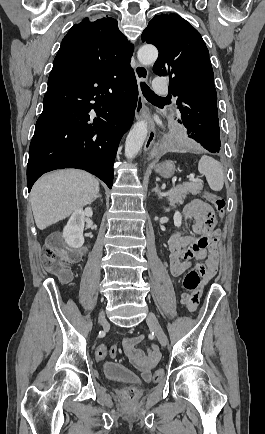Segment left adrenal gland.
Instances as JSON below:
<instances>
[{"label":"left adrenal gland","instance_id":"a2214340","mask_svg":"<svg viewBox=\"0 0 265 434\" xmlns=\"http://www.w3.org/2000/svg\"><path fill=\"white\" fill-rule=\"evenodd\" d=\"M152 192H155V194H157V196H158V198H160V200H161V198H163V196H161V190H159L157 182H156L155 188H154V190H152Z\"/></svg>","mask_w":265,"mask_h":434}]
</instances>
